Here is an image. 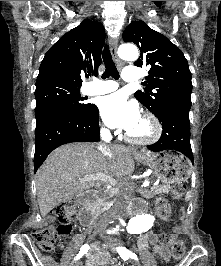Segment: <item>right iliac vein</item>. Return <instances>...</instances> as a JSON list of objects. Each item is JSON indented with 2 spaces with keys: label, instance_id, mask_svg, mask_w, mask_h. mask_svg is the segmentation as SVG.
<instances>
[{
  "label": "right iliac vein",
  "instance_id": "63e3f726",
  "mask_svg": "<svg viewBox=\"0 0 221 266\" xmlns=\"http://www.w3.org/2000/svg\"><path fill=\"white\" fill-rule=\"evenodd\" d=\"M74 266H79V262H76Z\"/></svg>",
  "mask_w": 221,
  "mask_h": 266
}]
</instances>
